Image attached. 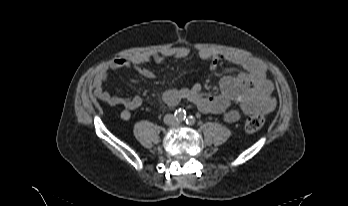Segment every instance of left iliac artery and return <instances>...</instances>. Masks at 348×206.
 <instances>
[{
  "label": "left iliac artery",
  "instance_id": "44dca946",
  "mask_svg": "<svg viewBox=\"0 0 348 206\" xmlns=\"http://www.w3.org/2000/svg\"><path fill=\"white\" fill-rule=\"evenodd\" d=\"M195 121L196 120H195V118L192 115L188 116L187 119H186V123L188 125H193L195 123Z\"/></svg>",
  "mask_w": 348,
  "mask_h": 206
}]
</instances>
